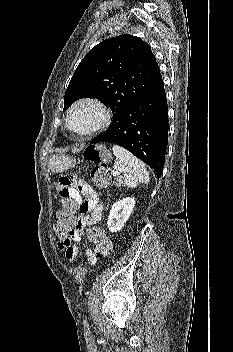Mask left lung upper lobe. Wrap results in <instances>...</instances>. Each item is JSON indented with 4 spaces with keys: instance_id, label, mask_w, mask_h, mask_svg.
I'll return each instance as SVG.
<instances>
[{
    "instance_id": "obj_1",
    "label": "left lung upper lobe",
    "mask_w": 233,
    "mask_h": 352,
    "mask_svg": "<svg viewBox=\"0 0 233 352\" xmlns=\"http://www.w3.org/2000/svg\"><path fill=\"white\" fill-rule=\"evenodd\" d=\"M161 78L155 56L142 39L128 34L106 39L79 63L65 92L63 110L80 98H97L111 108V126Z\"/></svg>"
}]
</instances>
